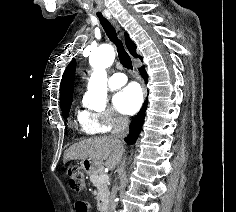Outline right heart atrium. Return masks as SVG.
<instances>
[{
  "instance_id": "d8ad5b80",
  "label": "right heart atrium",
  "mask_w": 236,
  "mask_h": 212,
  "mask_svg": "<svg viewBox=\"0 0 236 212\" xmlns=\"http://www.w3.org/2000/svg\"><path fill=\"white\" fill-rule=\"evenodd\" d=\"M124 122L125 119L111 108L101 112L83 111L80 116V125L86 134L106 133Z\"/></svg>"
}]
</instances>
